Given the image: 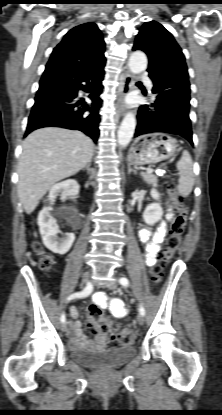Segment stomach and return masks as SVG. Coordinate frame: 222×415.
Returning a JSON list of instances; mask_svg holds the SVG:
<instances>
[{"label":"stomach","mask_w":222,"mask_h":415,"mask_svg":"<svg viewBox=\"0 0 222 415\" xmlns=\"http://www.w3.org/2000/svg\"><path fill=\"white\" fill-rule=\"evenodd\" d=\"M177 141L166 133H149L137 137L128 153V161L135 166L158 163L172 157Z\"/></svg>","instance_id":"obj_1"}]
</instances>
